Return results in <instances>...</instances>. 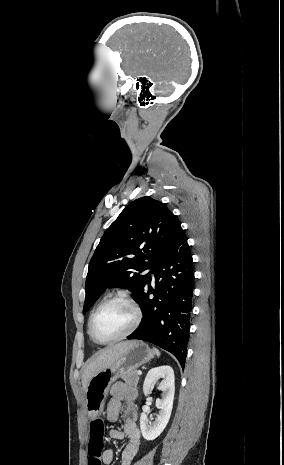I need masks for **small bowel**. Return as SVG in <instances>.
Segmentation results:
<instances>
[{"instance_id":"1","label":"small bowel","mask_w":284,"mask_h":465,"mask_svg":"<svg viewBox=\"0 0 284 465\" xmlns=\"http://www.w3.org/2000/svg\"><path fill=\"white\" fill-rule=\"evenodd\" d=\"M137 391L126 386L123 382H116L110 390V399L107 404L106 415L111 422L120 416L123 418L122 430L112 428L108 434L112 439L122 440L128 437V441L121 453V465H131L140 449L141 436L137 427L138 411L134 406ZM125 404L124 408L122 407ZM106 465H111L114 460V451L106 449L102 456Z\"/></svg>"}]
</instances>
